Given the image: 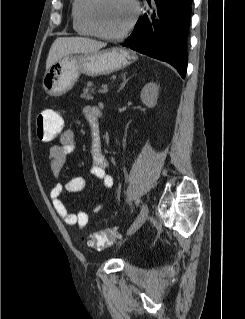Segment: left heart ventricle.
Returning <instances> with one entry per match:
<instances>
[{
    "label": "left heart ventricle",
    "instance_id": "obj_1",
    "mask_svg": "<svg viewBox=\"0 0 245 319\" xmlns=\"http://www.w3.org/2000/svg\"><path fill=\"white\" fill-rule=\"evenodd\" d=\"M132 16L133 7L129 0H101L97 8V20L108 33L123 30Z\"/></svg>",
    "mask_w": 245,
    "mask_h": 319
}]
</instances>
